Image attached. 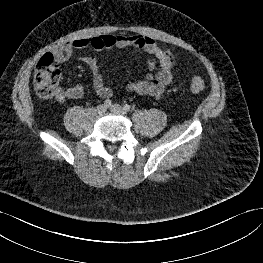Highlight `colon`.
<instances>
[{"instance_id": "5ec220e1", "label": "colon", "mask_w": 263, "mask_h": 263, "mask_svg": "<svg viewBox=\"0 0 263 263\" xmlns=\"http://www.w3.org/2000/svg\"><path fill=\"white\" fill-rule=\"evenodd\" d=\"M61 71L59 66L54 62L53 56L49 53L43 55L38 61L34 76L33 86L36 93L43 98H52L59 88ZM207 83L201 77H193L190 83L191 91L195 93L202 92L206 89Z\"/></svg>"}]
</instances>
